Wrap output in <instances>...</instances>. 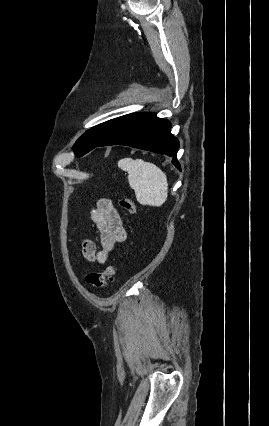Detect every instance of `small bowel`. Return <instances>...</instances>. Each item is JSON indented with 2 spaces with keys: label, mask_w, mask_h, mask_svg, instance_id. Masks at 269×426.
<instances>
[{
  "label": "small bowel",
  "mask_w": 269,
  "mask_h": 426,
  "mask_svg": "<svg viewBox=\"0 0 269 426\" xmlns=\"http://www.w3.org/2000/svg\"><path fill=\"white\" fill-rule=\"evenodd\" d=\"M91 220L99 233L100 248L96 250L91 240L82 243L86 261L105 263L116 247L126 239V230L121 215L108 198H100L90 212Z\"/></svg>",
  "instance_id": "c3829d8e"
}]
</instances>
